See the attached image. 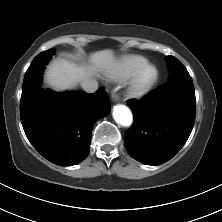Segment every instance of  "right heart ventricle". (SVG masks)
I'll use <instances>...</instances> for the list:
<instances>
[{"instance_id": "1", "label": "right heart ventricle", "mask_w": 222, "mask_h": 222, "mask_svg": "<svg viewBox=\"0 0 222 222\" xmlns=\"http://www.w3.org/2000/svg\"><path fill=\"white\" fill-rule=\"evenodd\" d=\"M146 62V58L140 55L123 56L112 65L108 77L114 81L125 80L131 77Z\"/></svg>"}]
</instances>
